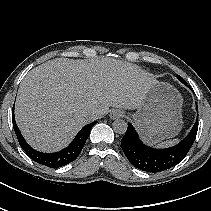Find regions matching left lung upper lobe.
I'll use <instances>...</instances> for the list:
<instances>
[{
    "label": "left lung upper lobe",
    "instance_id": "left-lung-upper-lobe-1",
    "mask_svg": "<svg viewBox=\"0 0 211 211\" xmlns=\"http://www.w3.org/2000/svg\"><path fill=\"white\" fill-rule=\"evenodd\" d=\"M177 78L179 79V80H184L182 77H180L179 75H177Z\"/></svg>",
    "mask_w": 211,
    "mask_h": 211
}]
</instances>
